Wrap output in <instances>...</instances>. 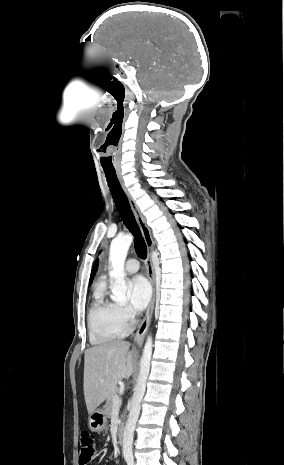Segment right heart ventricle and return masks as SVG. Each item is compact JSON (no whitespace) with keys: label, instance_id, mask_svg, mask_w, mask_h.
<instances>
[{"label":"right heart ventricle","instance_id":"1","mask_svg":"<svg viewBox=\"0 0 284 465\" xmlns=\"http://www.w3.org/2000/svg\"><path fill=\"white\" fill-rule=\"evenodd\" d=\"M122 320L116 305L99 291L95 293L87 314L90 341L96 346H106L119 340L124 334Z\"/></svg>","mask_w":284,"mask_h":465}]
</instances>
